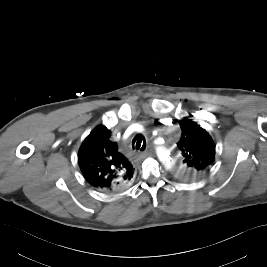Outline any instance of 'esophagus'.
Listing matches in <instances>:
<instances>
[{"label": "esophagus", "mask_w": 267, "mask_h": 267, "mask_svg": "<svg viewBox=\"0 0 267 267\" xmlns=\"http://www.w3.org/2000/svg\"><path fill=\"white\" fill-rule=\"evenodd\" d=\"M147 155H148L147 152H143L139 155V157L143 159V158L147 157Z\"/></svg>", "instance_id": "1"}]
</instances>
